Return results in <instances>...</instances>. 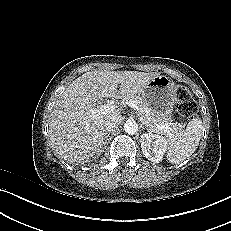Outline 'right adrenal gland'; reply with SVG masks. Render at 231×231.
<instances>
[{
	"label": "right adrenal gland",
	"instance_id": "2a0ac1e0",
	"mask_svg": "<svg viewBox=\"0 0 231 231\" xmlns=\"http://www.w3.org/2000/svg\"><path fill=\"white\" fill-rule=\"evenodd\" d=\"M109 135H110V134H107L106 139H105V141H104V148H106V144L108 143Z\"/></svg>",
	"mask_w": 231,
	"mask_h": 231
}]
</instances>
